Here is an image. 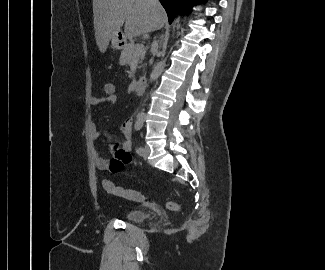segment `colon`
Segmentation results:
<instances>
[{
	"mask_svg": "<svg viewBox=\"0 0 325 270\" xmlns=\"http://www.w3.org/2000/svg\"><path fill=\"white\" fill-rule=\"evenodd\" d=\"M102 90L105 97L117 96V88L113 82H106L103 85ZM102 185L106 192L116 195L118 197H122L124 199L136 202H142L144 200V195L141 192L116 186L109 180H103ZM167 206L170 210L173 211L180 210V205L172 201L168 202Z\"/></svg>",
	"mask_w": 325,
	"mask_h": 270,
	"instance_id": "1",
	"label": "colon"
}]
</instances>
